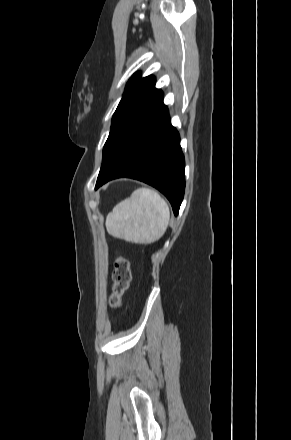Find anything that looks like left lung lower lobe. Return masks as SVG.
<instances>
[{
    "label": "left lung lower lobe",
    "mask_w": 291,
    "mask_h": 440,
    "mask_svg": "<svg viewBox=\"0 0 291 440\" xmlns=\"http://www.w3.org/2000/svg\"><path fill=\"white\" fill-rule=\"evenodd\" d=\"M184 168L180 137L161 94L110 147L95 189L120 177L137 179L161 191L177 215L185 189Z\"/></svg>",
    "instance_id": "left-lung-lower-lobe-1"
}]
</instances>
